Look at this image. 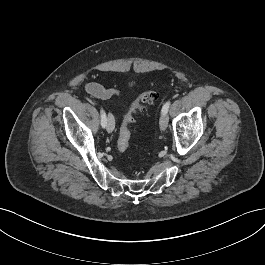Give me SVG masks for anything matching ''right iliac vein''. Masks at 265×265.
<instances>
[{"label": "right iliac vein", "mask_w": 265, "mask_h": 265, "mask_svg": "<svg viewBox=\"0 0 265 265\" xmlns=\"http://www.w3.org/2000/svg\"><path fill=\"white\" fill-rule=\"evenodd\" d=\"M114 127H115L114 118L112 114H108L106 129L109 133H111L114 130Z\"/></svg>", "instance_id": "63e3f726"}]
</instances>
